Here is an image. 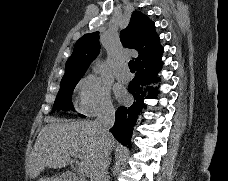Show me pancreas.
<instances>
[{"label":"pancreas","instance_id":"cf45deb5","mask_svg":"<svg viewBox=\"0 0 228 181\" xmlns=\"http://www.w3.org/2000/svg\"><path fill=\"white\" fill-rule=\"evenodd\" d=\"M80 181H85V177H84V175H81V177H80Z\"/></svg>","mask_w":228,"mask_h":181}]
</instances>
